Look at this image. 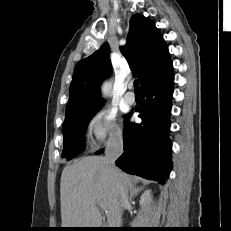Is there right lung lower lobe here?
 <instances>
[{
  "instance_id": "1",
  "label": "right lung lower lobe",
  "mask_w": 231,
  "mask_h": 231,
  "mask_svg": "<svg viewBox=\"0 0 231 231\" xmlns=\"http://www.w3.org/2000/svg\"><path fill=\"white\" fill-rule=\"evenodd\" d=\"M173 71L141 87L143 100L136 107L142 122L129 121L133 111L124 119V152L116 165L129 174L164 184L172 169L168 138L173 94ZM99 150L96 154H101Z\"/></svg>"
}]
</instances>
